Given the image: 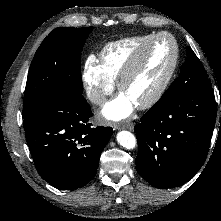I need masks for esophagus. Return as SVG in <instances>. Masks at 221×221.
Here are the masks:
<instances>
[{
  "label": "esophagus",
  "instance_id": "obj_1",
  "mask_svg": "<svg viewBox=\"0 0 221 221\" xmlns=\"http://www.w3.org/2000/svg\"><path fill=\"white\" fill-rule=\"evenodd\" d=\"M128 129V130H133L134 129V124L133 123H130V122H127V123H124V124H121L118 126V129Z\"/></svg>",
  "mask_w": 221,
  "mask_h": 221
}]
</instances>
